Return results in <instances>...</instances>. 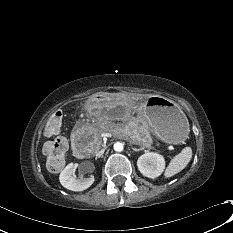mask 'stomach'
I'll return each instance as SVG.
<instances>
[{"instance_id": "1", "label": "stomach", "mask_w": 233, "mask_h": 233, "mask_svg": "<svg viewBox=\"0 0 233 233\" xmlns=\"http://www.w3.org/2000/svg\"><path fill=\"white\" fill-rule=\"evenodd\" d=\"M140 106L134 95L119 93L116 96L103 94L93 96L87 103L91 118L102 120L110 117L114 121L130 117ZM149 131L169 144L183 142L189 131V123L177 104L162 96H152L146 102L142 114Z\"/></svg>"}]
</instances>
